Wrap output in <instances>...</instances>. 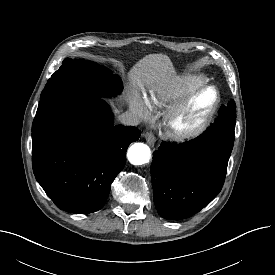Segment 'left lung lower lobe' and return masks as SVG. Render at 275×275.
I'll return each mask as SVG.
<instances>
[{"instance_id":"1","label":"left lung lower lobe","mask_w":275,"mask_h":275,"mask_svg":"<svg viewBox=\"0 0 275 275\" xmlns=\"http://www.w3.org/2000/svg\"><path fill=\"white\" fill-rule=\"evenodd\" d=\"M218 120L197 138L161 143L153 154L151 181L155 207L161 217L181 220L199 212L221 191L233 149L235 127Z\"/></svg>"}]
</instances>
